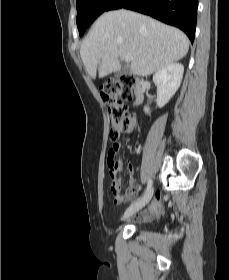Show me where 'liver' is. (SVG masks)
I'll use <instances>...</instances> for the list:
<instances>
[{
  "mask_svg": "<svg viewBox=\"0 0 229 280\" xmlns=\"http://www.w3.org/2000/svg\"><path fill=\"white\" fill-rule=\"evenodd\" d=\"M189 39L174 27L132 11L102 14L84 39L80 55L88 75L103 78L121 69L119 57L131 56L130 70L146 77L187 54Z\"/></svg>",
  "mask_w": 229,
  "mask_h": 280,
  "instance_id": "1",
  "label": "liver"
}]
</instances>
